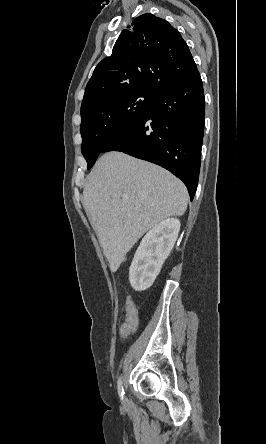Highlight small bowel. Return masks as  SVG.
I'll return each instance as SVG.
<instances>
[{"label":"small bowel","instance_id":"c3829d8e","mask_svg":"<svg viewBox=\"0 0 266 444\" xmlns=\"http://www.w3.org/2000/svg\"><path fill=\"white\" fill-rule=\"evenodd\" d=\"M126 320L120 327L119 333L122 338H127L136 331L138 325V317L135 305L130 297L125 300Z\"/></svg>","mask_w":266,"mask_h":444}]
</instances>
